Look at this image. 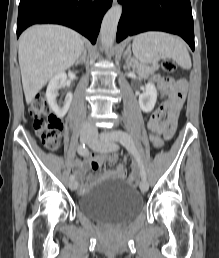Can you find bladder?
Returning <instances> with one entry per match:
<instances>
[{"mask_svg":"<svg viewBox=\"0 0 219 258\" xmlns=\"http://www.w3.org/2000/svg\"><path fill=\"white\" fill-rule=\"evenodd\" d=\"M143 198L124 181L106 178L78 198L82 213L111 224H123L143 209Z\"/></svg>","mask_w":219,"mask_h":258,"instance_id":"bladder-1","label":"bladder"}]
</instances>
